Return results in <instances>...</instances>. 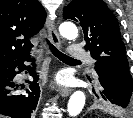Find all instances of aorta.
<instances>
[{"label": "aorta", "mask_w": 133, "mask_h": 118, "mask_svg": "<svg viewBox=\"0 0 133 118\" xmlns=\"http://www.w3.org/2000/svg\"><path fill=\"white\" fill-rule=\"evenodd\" d=\"M60 34L69 40H73L78 36L77 27L71 22H65L60 25ZM85 94L82 91L74 92L68 102L67 111L70 117H76L83 110L85 105Z\"/></svg>", "instance_id": "1"}]
</instances>
